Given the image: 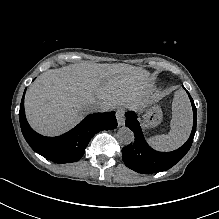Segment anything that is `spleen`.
<instances>
[{
  "label": "spleen",
  "mask_w": 219,
  "mask_h": 219,
  "mask_svg": "<svg viewBox=\"0 0 219 219\" xmlns=\"http://www.w3.org/2000/svg\"><path fill=\"white\" fill-rule=\"evenodd\" d=\"M170 127L168 134L148 139L154 149L168 152L179 148L187 141L192 129V110L184 90H177L174 94Z\"/></svg>",
  "instance_id": "spleen-1"
}]
</instances>
